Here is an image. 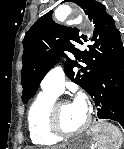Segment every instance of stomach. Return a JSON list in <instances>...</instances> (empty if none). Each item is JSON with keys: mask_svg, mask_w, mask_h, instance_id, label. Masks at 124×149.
Masks as SVG:
<instances>
[{"mask_svg": "<svg viewBox=\"0 0 124 149\" xmlns=\"http://www.w3.org/2000/svg\"><path fill=\"white\" fill-rule=\"evenodd\" d=\"M96 125L95 127L88 130L85 134L77 137L73 142V145L66 149H93L94 143L97 141L96 129L100 126ZM122 138V135L118 136L116 139Z\"/></svg>", "mask_w": 124, "mask_h": 149, "instance_id": "obj_1", "label": "stomach"}]
</instances>
